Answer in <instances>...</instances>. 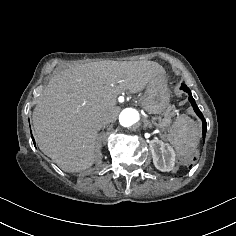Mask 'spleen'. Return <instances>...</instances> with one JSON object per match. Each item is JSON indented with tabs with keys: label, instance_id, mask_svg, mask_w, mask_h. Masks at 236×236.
I'll use <instances>...</instances> for the list:
<instances>
[{
	"label": "spleen",
	"instance_id": "spleen-1",
	"mask_svg": "<svg viewBox=\"0 0 236 236\" xmlns=\"http://www.w3.org/2000/svg\"><path fill=\"white\" fill-rule=\"evenodd\" d=\"M200 127L188 117H178L169 126L164 139L180 155H191L199 142Z\"/></svg>",
	"mask_w": 236,
	"mask_h": 236
}]
</instances>
